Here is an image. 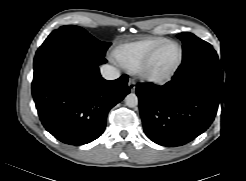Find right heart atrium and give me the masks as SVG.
Here are the masks:
<instances>
[{"label": "right heart atrium", "instance_id": "obj_1", "mask_svg": "<svg viewBox=\"0 0 246 181\" xmlns=\"http://www.w3.org/2000/svg\"><path fill=\"white\" fill-rule=\"evenodd\" d=\"M111 58H112V61H113L114 63L119 64V65H122V64L120 63V61L117 59V57L115 56V54H113Z\"/></svg>", "mask_w": 246, "mask_h": 181}]
</instances>
